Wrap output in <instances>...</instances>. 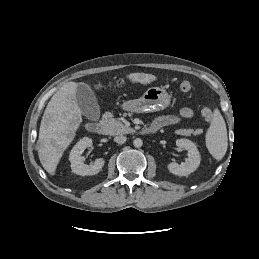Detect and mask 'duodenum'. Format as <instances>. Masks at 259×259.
<instances>
[{
  "mask_svg": "<svg viewBox=\"0 0 259 259\" xmlns=\"http://www.w3.org/2000/svg\"><path fill=\"white\" fill-rule=\"evenodd\" d=\"M86 130L92 134H104L105 133V126L103 123L100 122H88L86 124ZM158 130V128L154 125H150L147 129L146 132L148 133H154Z\"/></svg>",
  "mask_w": 259,
  "mask_h": 259,
  "instance_id": "duodenum-1",
  "label": "duodenum"
}]
</instances>
